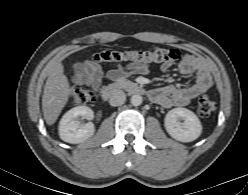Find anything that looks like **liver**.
<instances>
[{"label":"liver","instance_id":"liver-1","mask_svg":"<svg viewBox=\"0 0 248 195\" xmlns=\"http://www.w3.org/2000/svg\"><path fill=\"white\" fill-rule=\"evenodd\" d=\"M69 95L70 85L68 78L64 74L63 64L56 62L51 67L42 96L43 115L48 125L56 122L68 102Z\"/></svg>","mask_w":248,"mask_h":195}]
</instances>
